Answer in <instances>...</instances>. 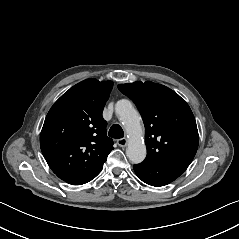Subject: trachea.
<instances>
[{"label":"trachea","mask_w":239,"mask_h":239,"mask_svg":"<svg viewBox=\"0 0 239 239\" xmlns=\"http://www.w3.org/2000/svg\"><path fill=\"white\" fill-rule=\"evenodd\" d=\"M108 135L111 138L120 139L124 137V132L120 125L114 124L113 126H111Z\"/></svg>","instance_id":"obj_1"}]
</instances>
